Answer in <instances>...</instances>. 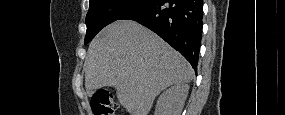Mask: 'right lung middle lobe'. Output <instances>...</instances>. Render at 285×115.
<instances>
[{
	"label": "right lung middle lobe",
	"mask_w": 285,
	"mask_h": 115,
	"mask_svg": "<svg viewBox=\"0 0 285 115\" xmlns=\"http://www.w3.org/2000/svg\"><path fill=\"white\" fill-rule=\"evenodd\" d=\"M152 0H89V11L86 16L87 32L85 44L113 21L121 19L128 13L143 7Z\"/></svg>",
	"instance_id": "1"
}]
</instances>
